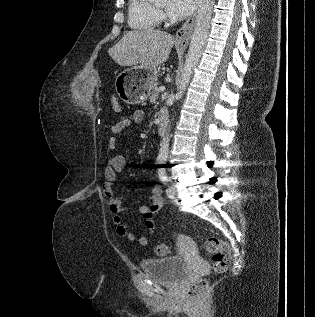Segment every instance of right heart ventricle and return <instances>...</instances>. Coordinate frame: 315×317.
<instances>
[{"mask_svg":"<svg viewBox=\"0 0 315 317\" xmlns=\"http://www.w3.org/2000/svg\"><path fill=\"white\" fill-rule=\"evenodd\" d=\"M161 20L159 10L150 0H129L128 24L136 30H147L157 27Z\"/></svg>","mask_w":315,"mask_h":317,"instance_id":"obj_1","label":"right heart ventricle"}]
</instances>
